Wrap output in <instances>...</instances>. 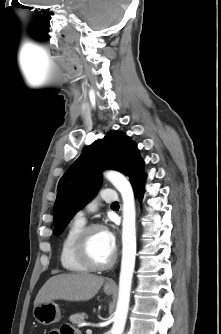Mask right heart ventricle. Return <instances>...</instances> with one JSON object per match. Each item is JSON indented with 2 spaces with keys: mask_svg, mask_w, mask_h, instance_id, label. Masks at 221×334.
<instances>
[{
  "mask_svg": "<svg viewBox=\"0 0 221 334\" xmlns=\"http://www.w3.org/2000/svg\"><path fill=\"white\" fill-rule=\"evenodd\" d=\"M84 226L85 221L74 218L61 242L60 262L62 267L71 273H85L88 271V268L78 260L75 253V241Z\"/></svg>",
  "mask_w": 221,
  "mask_h": 334,
  "instance_id": "obj_1",
  "label": "right heart ventricle"
}]
</instances>
